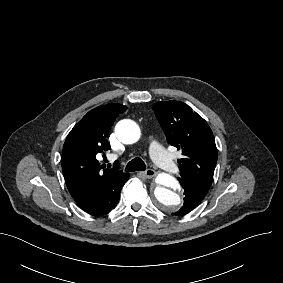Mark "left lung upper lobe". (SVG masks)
<instances>
[{
  "instance_id": "1",
  "label": "left lung upper lobe",
  "mask_w": 283,
  "mask_h": 283,
  "mask_svg": "<svg viewBox=\"0 0 283 283\" xmlns=\"http://www.w3.org/2000/svg\"><path fill=\"white\" fill-rule=\"evenodd\" d=\"M153 110L168 143L182 149L180 178L211 185L218 154L207 122L181 101L157 102Z\"/></svg>"
}]
</instances>
